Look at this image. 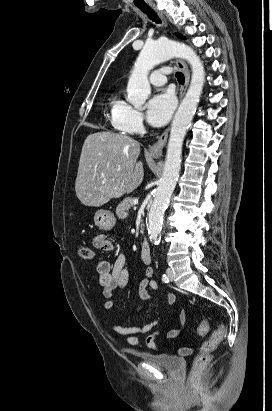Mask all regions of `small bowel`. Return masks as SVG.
I'll return each instance as SVG.
<instances>
[{
    "label": "small bowel",
    "instance_id": "c3829d8e",
    "mask_svg": "<svg viewBox=\"0 0 272 411\" xmlns=\"http://www.w3.org/2000/svg\"><path fill=\"white\" fill-rule=\"evenodd\" d=\"M93 245L104 252H114L115 244L106 238L102 233L95 234L93 236ZM96 270L99 277V284L103 287V296L106 299L104 303V309L106 312H111L114 308V302L112 298L116 291L125 288L129 283V272L127 269V258L125 255H119L114 263H110L107 260H100L96 264ZM153 267L147 265L144 270V278L139 285V295L143 301L149 302L153 299L149 293V289L155 292H159V286L153 279ZM166 300L170 306H174L176 297L172 292L165 294ZM137 312L140 313L144 310L143 305L137 307ZM179 321V327L176 329H170L165 332V338H175L181 335L184 329L186 315L185 311L181 310L177 316ZM174 320V316L170 318L168 322ZM161 317L143 325H137L132 327H125L116 323L111 324V329L123 337L125 342L130 346L141 348L143 343L139 340L138 335L148 334L145 338L144 344L151 350L157 351V339L164 331L166 324L161 325ZM191 351L189 348H182L179 350L180 354H187Z\"/></svg>",
    "mask_w": 272,
    "mask_h": 411
}]
</instances>
